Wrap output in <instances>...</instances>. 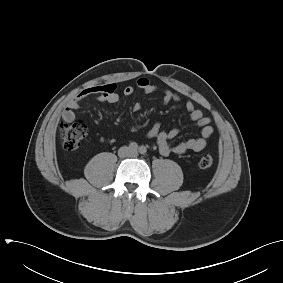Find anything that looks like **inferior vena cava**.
<instances>
[{
    "mask_svg": "<svg viewBox=\"0 0 283 283\" xmlns=\"http://www.w3.org/2000/svg\"><path fill=\"white\" fill-rule=\"evenodd\" d=\"M135 154L134 151H132L130 148L128 147H121L118 151V155L120 157H125V156H133Z\"/></svg>",
    "mask_w": 283,
    "mask_h": 283,
    "instance_id": "602c4592",
    "label": "inferior vena cava"
}]
</instances>
